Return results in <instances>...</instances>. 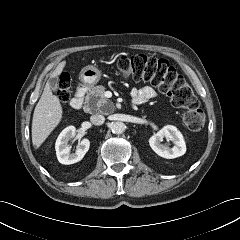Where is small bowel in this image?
Segmentation results:
<instances>
[{
  "mask_svg": "<svg viewBox=\"0 0 240 240\" xmlns=\"http://www.w3.org/2000/svg\"><path fill=\"white\" fill-rule=\"evenodd\" d=\"M133 103L136 105H141L156 96L155 90L150 86H143L140 88H134L131 92Z\"/></svg>",
  "mask_w": 240,
  "mask_h": 240,
  "instance_id": "c3829d8e",
  "label": "small bowel"
}]
</instances>
